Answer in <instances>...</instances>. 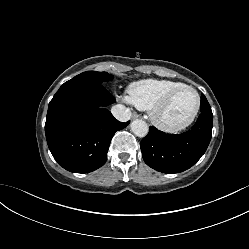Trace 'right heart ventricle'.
<instances>
[{"instance_id": "1", "label": "right heart ventricle", "mask_w": 249, "mask_h": 249, "mask_svg": "<svg viewBox=\"0 0 249 249\" xmlns=\"http://www.w3.org/2000/svg\"><path fill=\"white\" fill-rule=\"evenodd\" d=\"M183 85L182 82L167 79H144L129 88V100L137 108L149 110L171 89Z\"/></svg>"}]
</instances>
